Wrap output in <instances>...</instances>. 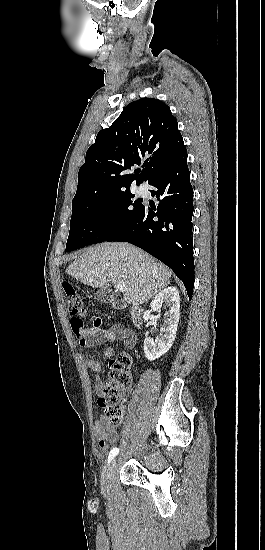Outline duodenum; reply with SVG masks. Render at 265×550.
Here are the masks:
<instances>
[{
  "label": "duodenum",
  "instance_id": "1",
  "mask_svg": "<svg viewBox=\"0 0 265 550\" xmlns=\"http://www.w3.org/2000/svg\"><path fill=\"white\" fill-rule=\"evenodd\" d=\"M126 305L122 301H115L114 302V308L117 310H124L126 309ZM129 314L132 324L139 328L141 326V316H142V310L139 306H130L129 307Z\"/></svg>",
  "mask_w": 265,
  "mask_h": 550
}]
</instances>
